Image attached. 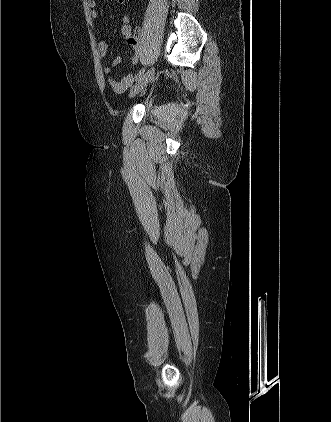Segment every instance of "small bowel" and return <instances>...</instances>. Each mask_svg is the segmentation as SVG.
<instances>
[{
  "mask_svg": "<svg viewBox=\"0 0 331 422\" xmlns=\"http://www.w3.org/2000/svg\"><path fill=\"white\" fill-rule=\"evenodd\" d=\"M119 5L123 6L125 0H116ZM88 4L91 7L90 15L93 19H97L98 11L95 9L97 5V0H88ZM123 25L121 27V35L122 37L127 40V42L136 50L135 55L132 58V62L135 64L139 61L140 58V30L135 29L133 31L132 26L130 24V17L129 13L125 10L123 14ZM98 51L102 57H106L108 54V44L105 41L98 42ZM120 63V58L115 57L111 63L107 64L103 68V72L106 76L109 77V84L112 90L116 93L124 92L134 81V77L132 74H126L120 80H115L110 77V74L114 67H116Z\"/></svg>",
  "mask_w": 331,
  "mask_h": 422,
  "instance_id": "small-bowel-1",
  "label": "small bowel"
}]
</instances>
